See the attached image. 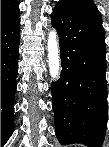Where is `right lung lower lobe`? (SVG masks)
<instances>
[{"mask_svg":"<svg viewBox=\"0 0 109 147\" xmlns=\"http://www.w3.org/2000/svg\"><path fill=\"white\" fill-rule=\"evenodd\" d=\"M20 43L19 16L1 26V146L13 132L14 96Z\"/></svg>","mask_w":109,"mask_h":147,"instance_id":"98d812e1","label":"right lung lower lobe"}]
</instances>
